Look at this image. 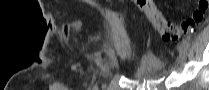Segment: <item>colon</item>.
<instances>
[{"mask_svg":"<svg viewBox=\"0 0 209 90\" xmlns=\"http://www.w3.org/2000/svg\"><path fill=\"white\" fill-rule=\"evenodd\" d=\"M136 3L159 32L162 39L170 42H177L182 37L191 35L195 28L204 22L209 10V0H200L190 17L174 24L163 17L152 0H136Z\"/></svg>","mask_w":209,"mask_h":90,"instance_id":"colon-1","label":"colon"}]
</instances>
